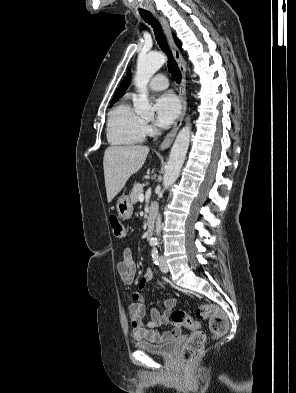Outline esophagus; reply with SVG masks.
<instances>
[{
	"label": "esophagus",
	"mask_w": 296,
	"mask_h": 393,
	"mask_svg": "<svg viewBox=\"0 0 296 393\" xmlns=\"http://www.w3.org/2000/svg\"><path fill=\"white\" fill-rule=\"evenodd\" d=\"M154 15L157 16V18L160 20L165 35L167 37V40L170 44V47L172 49L174 58L176 60V62L178 63V66L180 68V71L182 73V82H181V86H180V91H179V99H180V103H181V112L179 117L177 118V120L175 121L171 131L166 135L165 139L162 141L161 145H160V150H166L168 149L171 144L174 141V138L182 124V121L185 117L186 114V110H187V101H186V74H185V68H184V60L182 57V54L179 50V48L177 47L176 43L174 42L173 36H172V30L168 24V22L166 21L165 18H163L162 16H159L155 11H153Z\"/></svg>",
	"instance_id": "esophagus-1"
}]
</instances>
